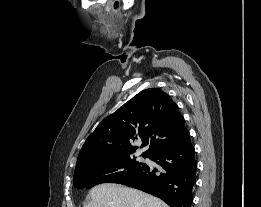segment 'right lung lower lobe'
<instances>
[{"label":"right lung lower lobe","mask_w":261,"mask_h":207,"mask_svg":"<svg viewBox=\"0 0 261 207\" xmlns=\"http://www.w3.org/2000/svg\"><path fill=\"white\" fill-rule=\"evenodd\" d=\"M150 158L158 169L147 165L118 183L159 197L171 207H191L197 163L190 137L182 144L159 151Z\"/></svg>","instance_id":"right-lung-lower-lobe-1"}]
</instances>
